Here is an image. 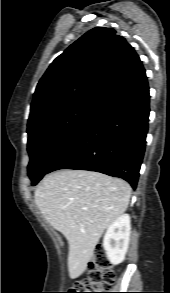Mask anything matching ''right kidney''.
Returning <instances> with one entry per match:
<instances>
[{
	"instance_id": "obj_1",
	"label": "right kidney",
	"mask_w": 170,
	"mask_h": 293,
	"mask_svg": "<svg viewBox=\"0 0 170 293\" xmlns=\"http://www.w3.org/2000/svg\"><path fill=\"white\" fill-rule=\"evenodd\" d=\"M130 232V216L128 214L121 215L108 227L103 238V247L112 264L123 262L129 246Z\"/></svg>"
}]
</instances>
